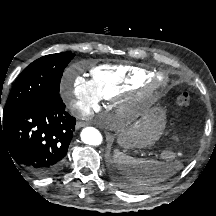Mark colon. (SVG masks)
I'll return each instance as SVG.
<instances>
[{
    "label": "colon",
    "instance_id": "1",
    "mask_svg": "<svg viewBox=\"0 0 216 216\" xmlns=\"http://www.w3.org/2000/svg\"><path fill=\"white\" fill-rule=\"evenodd\" d=\"M190 103V94L187 91L180 92L176 97V104L179 107L185 108ZM179 156V153L174 150H167L163 153L165 159H175Z\"/></svg>",
    "mask_w": 216,
    "mask_h": 216
}]
</instances>
